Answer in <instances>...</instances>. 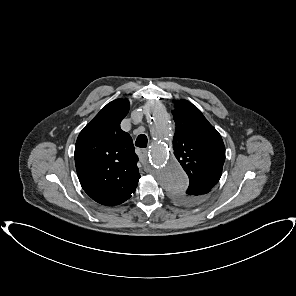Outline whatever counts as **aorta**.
<instances>
[{
	"label": "aorta",
	"instance_id": "762f6f07",
	"mask_svg": "<svg viewBox=\"0 0 296 296\" xmlns=\"http://www.w3.org/2000/svg\"><path fill=\"white\" fill-rule=\"evenodd\" d=\"M145 112L151 122L149 156L157 180L167 191L185 190L188 178L174 158V126L168 112L156 101L148 102Z\"/></svg>",
	"mask_w": 296,
	"mask_h": 296
}]
</instances>
